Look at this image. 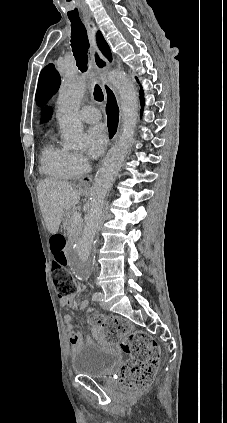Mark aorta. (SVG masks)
I'll use <instances>...</instances> for the list:
<instances>
[{
    "mask_svg": "<svg viewBox=\"0 0 227 423\" xmlns=\"http://www.w3.org/2000/svg\"><path fill=\"white\" fill-rule=\"evenodd\" d=\"M109 80L120 95L122 128L94 178L91 208L83 233L68 255V266L80 280L87 279L92 272L95 262L93 245L100 228L105 197L125 160L137 123L138 96L134 83L118 70L110 72ZM85 90L86 77L69 75L59 91L57 117L64 146L68 149L78 150L84 146L83 125L78 118V111Z\"/></svg>",
    "mask_w": 227,
    "mask_h": 423,
    "instance_id": "obj_1",
    "label": "aorta"
}]
</instances>
